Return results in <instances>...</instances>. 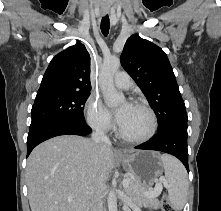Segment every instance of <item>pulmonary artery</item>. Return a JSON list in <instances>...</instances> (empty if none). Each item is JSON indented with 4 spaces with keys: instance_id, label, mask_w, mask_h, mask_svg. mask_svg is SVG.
<instances>
[{
    "instance_id": "pulmonary-artery-1",
    "label": "pulmonary artery",
    "mask_w": 221,
    "mask_h": 211,
    "mask_svg": "<svg viewBox=\"0 0 221 211\" xmlns=\"http://www.w3.org/2000/svg\"><path fill=\"white\" fill-rule=\"evenodd\" d=\"M114 84L120 89L127 90L132 86L133 82L131 76L127 72L120 71L115 74Z\"/></svg>"
}]
</instances>
